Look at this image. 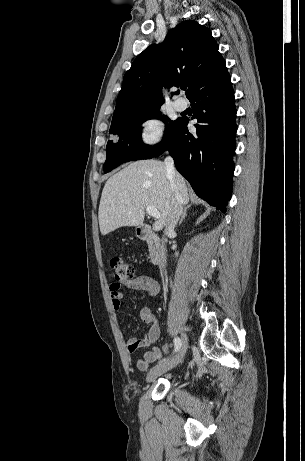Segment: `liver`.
Instances as JSON below:
<instances>
[{
	"label": "liver",
	"mask_w": 305,
	"mask_h": 461,
	"mask_svg": "<svg viewBox=\"0 0 305 461\" xmlns=\"http://www.w3.org/2000/svg\"><path fill=\"white\" fill-rule=\"evenodd\" d=\"M176 182L183 204H188L187 187L178 173ZM173 196L163 162L143 160L129 164L105 183L98 212L101 234L107 235L123 226L142 225L147 206L155 207L161 215L153 224V230H162Z\"/></svg>",
	"instance_id": "liver-1"
}]
</instances>
